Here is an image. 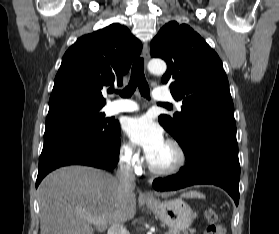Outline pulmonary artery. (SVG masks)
<instances>
[{
  "label": "pulmonary artery",
  "instance_id": "pulmonary-artery-1",
  "mask_svg": "<svg viewBox=\"0 0 279 234\" xmlns=\"http://www.w3.org/2000/svg\"><path fill=\"white\" fill-rule=\"evenodd\" d=\"M153 99L156 101H168L172 99L170 93L156 89L153 94ZM180 103L176 102V106L180 107ZM139 109L137 103L130 100H115L110 102L106 107V112L108 115H117L121 113H131Z\"/></svg>",
  "mask_w": 279,
  "mask_h": 234
}]
</instances>
